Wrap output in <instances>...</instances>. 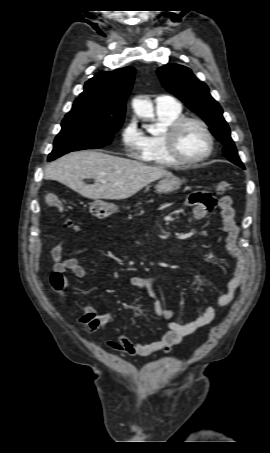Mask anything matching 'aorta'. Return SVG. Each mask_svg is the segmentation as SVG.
<instances>
[{
	"label": "aorta",
	"instance_id": "obj_1",
	"mask_svg": "<svg viewBox=\"0 0 270 453\" xmlns=\"http://www.w3.org/2000/svg\"><path fill=\"white\" fill-rule=\"evenodd\" d=\"M132 106L134 112L140 118L149 119L154 117V108L150 101L142 98H135L132 102Z\"/></svg>",
	"mask_w": 270,
	"mask_h": 453
}]
</instances>
